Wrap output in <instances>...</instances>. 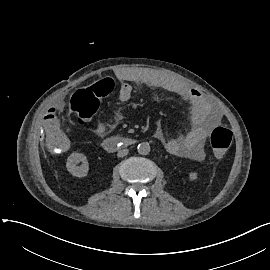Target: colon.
<instances>
[{
	"instance_id": "obj_1",
	"label": "colon",
	"mask_w": 270,
	"mask_h": 270,
	"mask_svg": "<svg viewBox=\"0 0 270 270\" xmlns=\"http://www.w3.org/2000/svg\"><path fill=\"white\" fill-rule=\"evenodd\" d=\"M114 80L105 76L101 83L77 89L70 99V110L79 124L91 121L97 114L100 99L110 94ZM232 131L224 126L215 127L210 133V144L213 153L222 157L232 143Z\"/></svg>"
}]
</instances>
